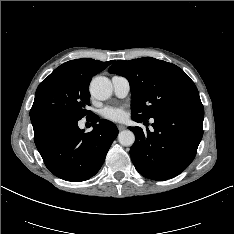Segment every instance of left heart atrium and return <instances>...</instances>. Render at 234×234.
Returning <instances> with one entry per match:
<instances>
[{"label":"left heart atrium","mask_w":234,"mask_h":234,"mask_svg":"<svg viewBox=\"0 0 234 234\" xmlns=\"http://www.w3.org/2000/svg\"><path fill=\"white\" fill-rule=\"evenodd\" d=\"M102 115L106 120L113 122H122L126 119V111L123 107H105L102 111Z\"/></svg>","instance_id":"obj_1"}]
</instances>
